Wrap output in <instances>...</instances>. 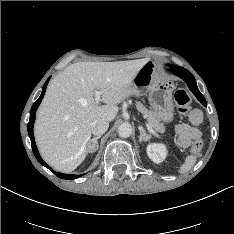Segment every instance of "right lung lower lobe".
<instances>
[{
    "mask_svg": "<svg viewBox=\"0 0 234 234\" xmlns=\"http://www.w3.org/2000/svg\"><path fill=\"white\" fill-rule=\"evenodd\" d=\"M49 79L50 77L47 79V81L45 82L44 86H43V89H42V93L39 97V99L33 104L32 108H31V111H30V119H29V123H28V134H29V137L31 139V145H32V149H33V153L36 157V159L45 167H47L48 169H50L52 172H54V174L61 178V179H76L77 176L76 175H71V174H63V173H59V172H55L52 170L51 167H49L43 160L42 158L40 157L39 155V152L37 150V147H36V144H35V141H34V135H33V125H34V121H35V113H36V110L39 106V104L41 103L42 101V98L44 97V94H45V90H46V87H47V84L49 82Z\"/></svg>",
    "mask_w": 234,
    "mask_h": 234,
    "instance_id": "obj_1",
    "label": "right lung lower lobe"
}]
</instances>
